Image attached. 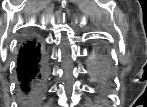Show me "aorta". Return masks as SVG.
<instances>
[{
	"instance_id": "obj_1",
	"label": "aorta",
	"mask_w": 147,
	"mask_h": 107,
	"mask_svg": "<svg viewBox=\"0 0 147 107\" xmlns=\"http://www.w3.org/2000/svg\"><path fill=\"white\" fill-rule=\"evenodd\" d=\"M92 58L95 59V60H98L99 56L98 55H94Z\"/></svg>"
}]
</instances>
